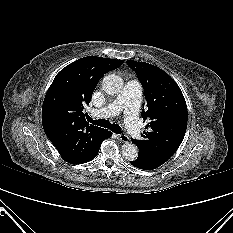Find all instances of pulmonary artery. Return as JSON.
<instances>
[{
	"instance_id": "obj_1",
	"label": "pulmonary artery",
	"mask_w": 233,
	"mask_h": 233,
	"mask_svg": "<svg viewBox=\"0 0 233 233\" xmlns=\"http://www.w3.org/2000/svg\"><path fill=\"white\" fill-rule=\"evenodd\" d=\"M141 84L138 80H129L119 95L106 107L93 111L97 117H111L124 111L125 125L133 138L139 139L141 134L138 121Z\"/></svg>"
}]
</instances>
